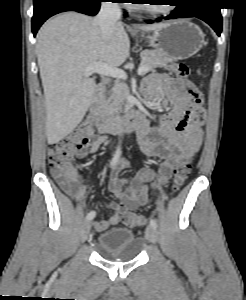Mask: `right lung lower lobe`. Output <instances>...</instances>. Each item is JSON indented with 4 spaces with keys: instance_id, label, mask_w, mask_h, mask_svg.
Returning a JSON list of instances; mask_svg holds the SVG:
<instances>
[{
    "instance_id": "right-lung-lower-lobe-1",
    "label": "right lung lower lobe",
    "mask_w": 246,
    "mask_h": 300,
    "mask_svg": "<svg viewBox=\"0 0 246 300\" xmlns=\"http://www.w3.org/2000/svg\"><path fill=\"white\" fill-rule=\"evenodd\" d=\"M103 0H34L32 32L36 33L40 26L51 16L65 11H77L94 16L100 9Z\"/></svg>"
}]
</instances>
